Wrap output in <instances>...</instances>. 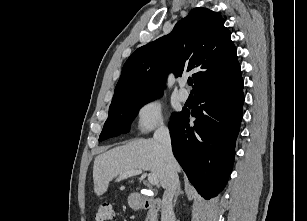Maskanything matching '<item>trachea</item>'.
<instances>
[{
  "instance_id": "obj_1",
  "label": "trachea",
  "mask_w": 307,
  "mask_h": 221,
  "mask_svg": "<svg viewBox=\"0 0 307 221\" xmlns=\"http://www.w3.org/2000/svg\"><path fill=\"white\" fill-rule=\"evenodd\" d=\"M193 84V80L192 79H188V85L192 86Z\"/></svg>"
}]
</instances>
